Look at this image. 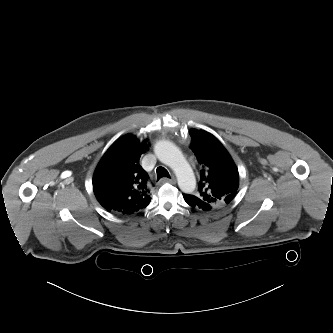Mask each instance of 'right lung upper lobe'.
<instances>
[{"instance_id":"cb5924a9","label":"right lung upper lobe","mask_w":333,"mask_h":333,"mask_svg":"<svg viewBox=\"0 0 333 333\" xmlns=\"http://www.w3.org/2000/svg\"><path fill=\"white\" fill-rule=\"evenodd\" d=\"M149 144L134 135L117 139L101 158L93 176V190L109 212L132 214L145 208L149 196L148 174L139 159Z\"/></svg>"}]
</instances>
